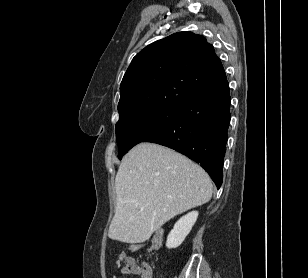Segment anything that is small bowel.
<instances>
[{"mask_svg": "<svg viewBox=\"0 0 308 278\" xmlns=\"http://www.w3.org/2000/svg\"><path fill=\"white\" fill-rule=\"evenodd\" d=\"M126 257H127L126 253H125V252H121V253L119 254L118 260H117L116 263H115V267H116V268L119 267L120 264H121V262H123V260H124ZM121 271H122V273H130V272L126 269V267H123ZM137 274H139L140 278H153V277H152V269H151V267H150L149 265H147V264H143V265H142L141 271H139ZM112 278H116V277L114 276V277H112Z\"/></svg>", "mask_w": 308, "mask_h": 278, "instance_id": "small-bowel-1", "label": "small bowel"}]
</instances>
